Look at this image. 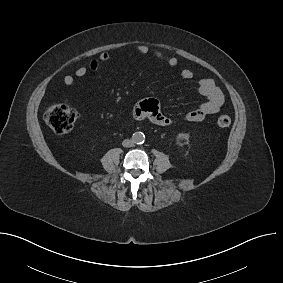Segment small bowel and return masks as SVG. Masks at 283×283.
Returning <instances> with one entry per match:
<instances>
[{
    "label": "small bowel",
    "instance_id": "1",
    "mask_svg": "<svg viewBox=\"0 0 283 283\" xmlns=\"http://www.w3.org/2000/svg\"><path fill=\"white\" fill-rule=\"evenodd\" d=\"M131 50L139 55H146L150 52L149 47L144 44L134 45ZM153 55L171 67L178 64V59L176 57L166 55L159 50L153 51ZM109 59L110 55L108 53H100L97 58L89 64L88 68L81 66L76 69L74 74L66 75L64 77V84L72 86L76 79L86 76L88 70L93 72L97 71L100 65L107 62ZM179 75L184 80H191L194 77V73L190 69H182L179 72ZM197 91L206 100L198 108L191 110L186 114L185 119L189 122L203 121L207 116L218 113L224 104V95L222 91L210 78L199 80ZM133 115L136 120H149L160 126H166L173 122L172 119L162 113L159 102L153 98L139 102L134 107Z\"/></svg>",
    "mask_w": 283,
    "mask_h": 283
}]
</instances>
